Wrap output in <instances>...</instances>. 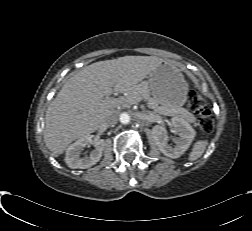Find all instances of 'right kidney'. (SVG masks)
<instances>
[{
    "label": "right kidney",
    "instance_id": "obj_1",
    "mask_svg": "<svg viewBox=\"0 0 252 231\" xmlns=\"http://www.w3.org/2000/svg\"><path fill=\"white\" fill-rule=\"evenodd\" d=\"M90 142L89 135L81 137L75 143L71 144L66 150L65 162L68 167L73 169H86L95 165L102 157V153L106 146V141L103 139L93 143L95 147L88 155L81 157V152Z\"/></svg>",
    "mask_w": 252,
    "mask_h": 231
}]
</instances>
